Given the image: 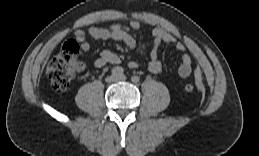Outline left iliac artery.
<instances>
[{
  "label": "left iliac artery",
  "instance_id": "left-iliac-artery-1",
  "mask_svg": "<svg viewBox=\"0 0 259 156\" xmlns=\"http://www.w3.org/2000/svg\"><path fill=\"white\" fill-rule=\"evenodd\" d=\"M131 80H132L134 83H138L139 80H140V78H139V76L134 75V76H132Z\"/></svg>",
  "mask_w": 259,
  "mask_h": 156
}]
</instances>
